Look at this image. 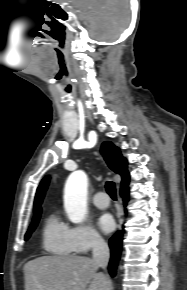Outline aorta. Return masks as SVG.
I'll list each match as a JSON object with an SVG mask.
<instances>
[{"label":"aorta","instance_id":"obj_1","mask_svg":"<svg viewBox=\"0 0 187 290\" xmlns=\"http://www.w3.org/2000/svg\"><path fill=\"white\" fill-rule=\"evenodd\" d=\"M87 175L83 171L73 172L64 188V207L69 220L82 223L87 213Z\"/></svg>","mask_w":187,"mask_h":290}]
</instances>
